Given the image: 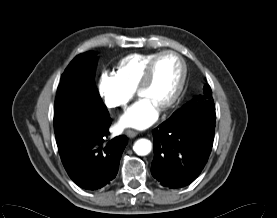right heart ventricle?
Wrapping results in <instances>:
<instances>
[{"label": "right heart ventricle", "instance_id": "e07e8e85", "mask_svg": "<svg viewBox=\"0 0 277 218\" xmlns=\"http://www.w3.org/2000/svg\"><path fill=\"white\" fill-rule=\"evenodd\" d=\"M159 52L133 53L120 60L118 74L133 89L139 85L147 65Z\"/></svg>", "mask_w": 277, "mask_h": 218}]
</instances>
